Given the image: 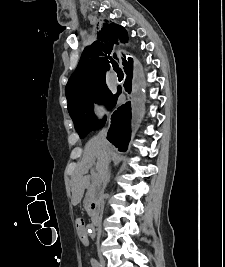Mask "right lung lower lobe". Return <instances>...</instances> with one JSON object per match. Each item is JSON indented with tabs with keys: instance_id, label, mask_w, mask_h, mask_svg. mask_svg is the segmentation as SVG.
I'll list each match as a JSON object with an SVG mask.
<instances>
[{
	"instance_id": "right-lung-lower-lobe-1",
	"label": "right lung lower lobe",
	"mask_w": 225,
	"mask_h": 267,
	"mask_svg": "<svg viewBox=\"0 0 225 267\" xmlns=\"http://www.w3.org/2000/svg\"><path fill=\"white\" fill-rule=\"evenodd\" d=\"M132 67H133L132 64H128V66H125L124 68L127 74L124 87L128 93H130L131 86H132L131 85ZM120 94H121V88L118 87V92L116 94L117 98ZM116 102H117V99L115 101V104ZM115 104L113 105V107L115 106ZM130 120H131V104L130 103H126L125 105H122L121 107H119L118 110L115 111L111 117L112 125L109 129L107 139L111 143H113L116 147H118L119 150H122V151H125L127 149L128 143L130 140V125H129Z\"/></svg>"
}]
</instances>
